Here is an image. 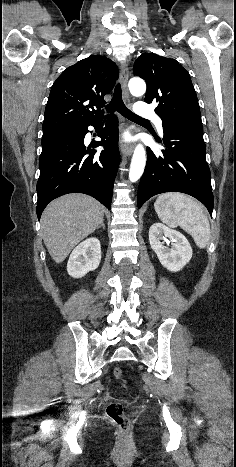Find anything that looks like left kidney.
Here are the masks:
<instances>
[{
  "instance_id": "1",
  "label": "left kidney",
  "mask_w": 236,
  "mask_h": 467,
  "mask_svg": "<svg viewBox=\"0 0 236 467\" xmlns=\"http://www.w3.org/2000/svg\"><path fill=\"white\" fill-rule=\"evenodd\" d=\"M169 239L171 247L163 240ZM149 242L163 267L171 272L180 271L192 258V248L183 234L161 223L149 229Z\"/></svg>"
}]
</instances>
